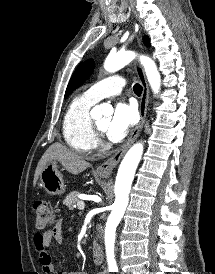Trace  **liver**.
Here are the masks:
<instances>
[{"label":"liver","mask_w":215,"mask_h":274,"mask_svg":"<svg viewBox=\"0 0 215 274\" xmlns=\"http://www.w3.org/2000/svg\"><path fill=\"white\" fill-rule=\"evenodd\" d=\"M50 161H59L71 174L83 172L90 164L79 154L73 152L59 143L52 144L41 157L35 170L33 185L35 186L41 171Z\"/></svg>","instance_id":"1"}]
</instances>
